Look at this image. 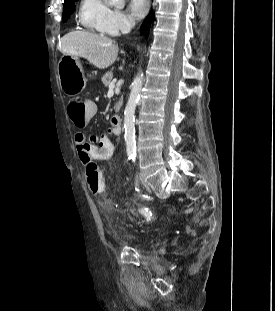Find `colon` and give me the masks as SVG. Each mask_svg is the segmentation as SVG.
Here are the masks:
<instances>
[{"label":"colon","mask_w":275,"mask_h":311,"mask_svg":"<svg viewBox=\"0 0 275 311\" xmlns=\"http://www.w3.org/2000/svg\"><path fill=\"white\" fill-rule=\"evenodd\" d=\"M68 111L74 121V129H87L92 117L97 116V102L92 97H77L69 102ZM86 179L92 192L102 193L104 191V178L97 164L90 163L86 166Z\"/></svg>","instance_id":"obj_1"}]
</instances>
